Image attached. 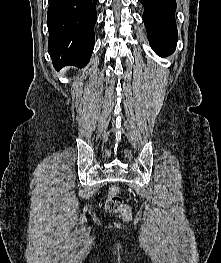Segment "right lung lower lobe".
<instances>
[{
  "label": "right lung lower lobe",
  "mask_w": 221,
  "mask_h": 263,
  "mask_svg": "<svg viewBox=\"0 0 221 263\" xmlns=\"http://www.w3.org/2000/svg\"><path fill=\"white\" fill-rule=\"evenodd\" d=\"M98 0H50L47 13L48 53L53 65L83 68L94 48Z\"/></svg>",
  "instance_id": "1"
}]
</instances>
